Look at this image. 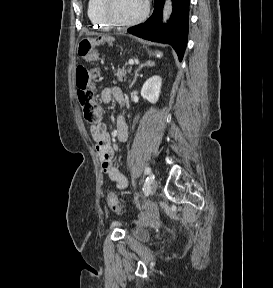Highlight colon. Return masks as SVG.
<instances>
[{"instance_id": "5ec220e1", "label": "colon", "mask_w": 273, "mask_h": 288, "mask_svg": "<svg viewBox=\"0 0 273 288\" xmlns=\"http://www.w3.org/2000/svg\"><path fill=\"white\" fill-rule=\"evenodd\" d=\"M79 57L85 62H93L97 59V51L90 39H83L78 46ZM97 75L96 70H88L84 66L76 68V86L77 99L82 109L83 118L89 123H96L100 119V110L95 100V94L92 86V79ZM106 202L109 208L119 214L121 212V204L112 191L106 195Z\"/></svg>"}]
</instances>
